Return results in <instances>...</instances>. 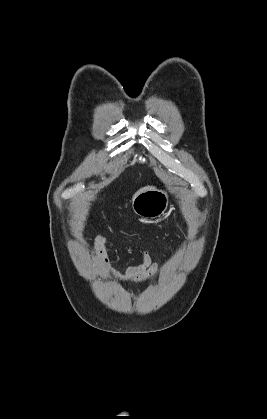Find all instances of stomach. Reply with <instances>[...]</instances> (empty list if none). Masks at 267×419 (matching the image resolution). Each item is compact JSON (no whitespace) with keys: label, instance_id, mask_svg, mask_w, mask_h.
<instances>
[{"label":"stomach","instance_id":"1","mask_svg":"<svg viewBox=\"0 0 267 419\" xmlns=\"http://www.w3.org/2000/svg\"><path fill=\"white\" fill-rule=\"evenodd\" d=\"M169 205L167 192L150 188L137 194L132 200L134 213L142 218L155 219L165 214Z\"/></svg>","mask_w":267,"mask_h":419}]
</instances>
